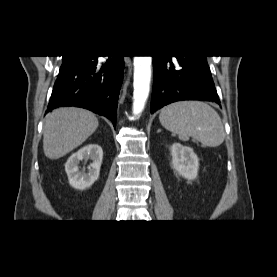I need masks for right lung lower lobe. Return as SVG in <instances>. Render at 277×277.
Segmentation results:
<instances>
[{"instance_id": "right-lung-lower-lobe-1", "label": "right lung lower lobe", "mask_w": 277, "mask_h": 277, "mask_svg": "<svg viewBox=\"0 0 277 277\" xmlns=\"http://www.w3.org/2000/svg\"><path fill=\"white\" fill-rule=\"evenodd\" d=\"M77 56L59 71L47 112L58 107L86 108L110 119L116 126L118 95L124 72L123 56Z\"/></svg>"}]
</instances>
